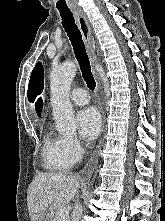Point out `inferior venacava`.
<instances>
[{
    "label": "inferior vena cava",
    "instance_id": "obj_1",
    "mask_svg": "<svg viewBox=\"0 0 165 221\" xmlns=\"http://www.w3.org/2000/svg\"><path fill=\"white\" fill-rule=\"evenodd\" d=\"M82 214V207L79 202H77L73 209L72 221H79Z\"/></svg>",
    "mask_w": 165,
    "mask_h": 221
}]
</instances>
